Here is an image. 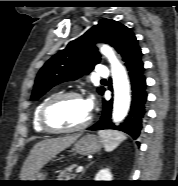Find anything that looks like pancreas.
Wrapping results in <instances>:
<instances>
[{"instance_id": "obj_1", "label": "pancreas", "mask_w": 178, "mask_h": 186, "mask_svg": "<svg viewBox=\"0 0 178 186\" xmlns=\"http://www.w3.org/2000/svg\"><path fill=\"white\" fill-rule=\"evenodd\" d=\"M76 167V164L70 165L62 170L59 175L57 181H70L75 178V174L73 173V168Z\"/></svg>"}]
</instances>
